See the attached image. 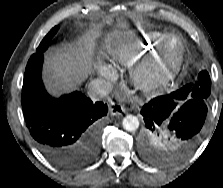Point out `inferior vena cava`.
Segmentation results:
<instances>
[{
    "label": "inferior vena cava",
    "instance_id": "inferior-vena-cava-1",
    "mask_svg": "<svg viewBox=\"0 0 223 188\" xmlns=\"http://www.w3.org/2000/svg\"><path fill=\"white\" fill-rule=\"evenodd\" d=\"M113 89L110 81L105 79H94L89 83L88 95L93 101H97L107 96Z\"/></svg>",
    "mask_w": 223,
    "mask_h": 188
}]
</instances>
